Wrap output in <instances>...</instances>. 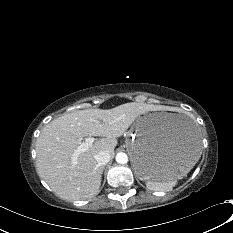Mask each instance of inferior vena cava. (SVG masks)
I'll return each mask as SVG.
<instances>
[{
	"label": "inferior vena cava",
	"instance_id": "inferior-vena-cava-1",
	"mask_svg": "<svg viewBox=\"0 0 233 233\" xmlns=\"http://www.w3.org/2000/svg\"><path fill=\"white\" fill-rule=\"evenodd\" d=\"M111 154L108 151H100L95 155V160L99 165H105L110 161Z\"/></svg>",
	"mask_w": 233,
	"mask_h": 233
}]
</instances>
